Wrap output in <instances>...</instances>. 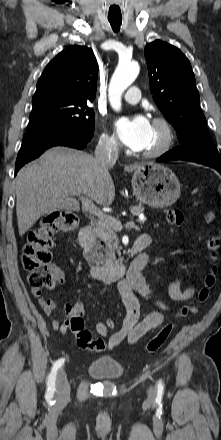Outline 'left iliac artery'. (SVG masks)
Here are the masks:
<instances>
[{"instance_id": "1", "label": "left iliac artery", "mask_w": 221, "mask_h": 440, "mask_svg": "<svg viewBox=\"0 0 221 440\" xmlns=\"http://www.w3.org/2000/svg\"><path fill=\"white\" fill-rule=\"evenodd\" d=\"M157 389H158V393H163L164 385L162 384L161 381H159L157 385Z\"/></svg>"}]
</instances>
